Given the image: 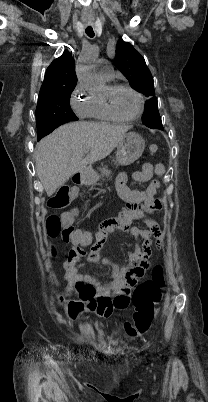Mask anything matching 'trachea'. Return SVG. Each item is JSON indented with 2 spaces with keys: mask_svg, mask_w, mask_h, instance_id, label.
Segmentation results:
<instances>
[{
  "mask_svg": "<svg viewBox=\"0 0 208 402\" xmlns=\"http://www.w3.org/2000/svg\"><path fill=\"white\" fill-rule=\"evenodd\" d=\"M86 34L88 35V37H94V31L92 27H87L85 29Z\"/></svg>",
  "mask_w": 208,
  "mask_h": 402,
  "instance_id": "obj_1",
  "label": "trachea"
}]
</instances>
